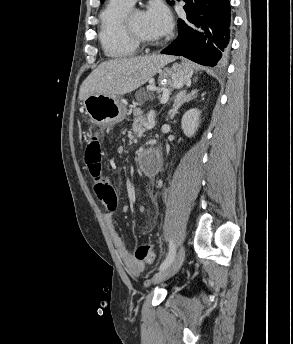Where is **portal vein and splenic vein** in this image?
<instances>
[{
  "label": "portal vein and splenic vein",
  "instance_id": "obj_1",
  "mask_svg": "<svg viewBox=\"0 0 293 344\" xmlns=\"http://www.w3.org/2000/svg\"><path fill=\"white\" fill-rule=\"evenodd\" d=\"M163 100H168V95H163Z\"/></svg>",
  "mask_w": 293,
  "mask_h": 344
}]
</instances>
